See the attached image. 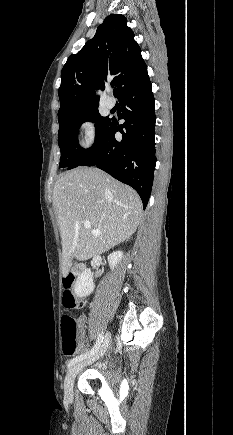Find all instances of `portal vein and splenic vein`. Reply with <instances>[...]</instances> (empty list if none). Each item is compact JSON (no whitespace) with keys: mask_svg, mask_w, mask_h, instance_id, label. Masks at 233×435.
<instances>
[{"mask_svg":"<svg viewBox=\"0 0 233 435\" xmlns=\"http://www.w3.org/2000/svg\"><path fill=\"white\" fill-rule=\"evenodd\" d=\"M84 227L87 228V229L91 228V224H90V222L88 220L84 222ZM92 233L94 235H100L101 234V232L98 231V230H92Z\"/></svg>","mask_w":233,"mask_h":435,"instance_id":"obj_1","label":"portal vein and splenic vein"}]
</instances>
